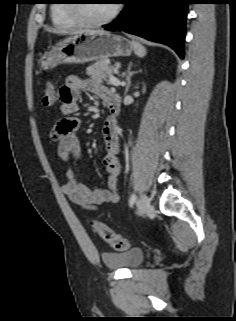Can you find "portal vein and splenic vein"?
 <instances>
[{"mask_svg":"<svg viewBox=\"0 0 236 321\" xmlns=\"http://www.w3.org/2000/svg\"><path fill=\"white\" fill-rule=\"evenodd\" d=\"M109 80L115 86L123 85V83H120V81L116 77H114L112 74H109Z\"/></svg>","mask_w":236,"mask_h":321,"instance_id":"18ae733b","label":"portal vein and splenic vein"}]
</instances>
